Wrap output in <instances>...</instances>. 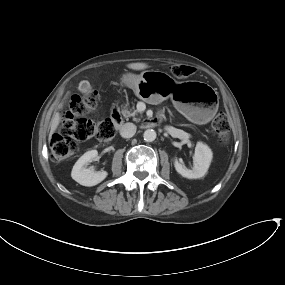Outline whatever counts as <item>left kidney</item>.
I'll return each mask as SVG.
<instances>
[{
    "label": "left kidney",
    "instance_id": "5707ae66",
    "mask_svg": "<svg viewBox=\"0 0 285 285\" xmlns=\"http://www.w3.org/2000/svg\"><path fill=\"white\" fill-rule=\"evenodd\" d=\"M212 158L213 153L208 145L198 142L196 144L195 154L193 156V168L188 169L177 159L174 160V167L181 176L188 179H197L203 177L207 173Z\"/></svg>",
    "mask_w": 285,
    "mask_h": 285
}]
</instances>
